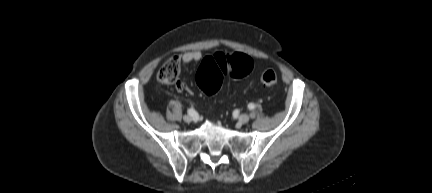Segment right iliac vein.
<instances>
[{"label": "right iliac vein", "instance_id": "63e3f726", "mask_svg": "<svg viewBox=\"0 0 432 193\" xmlns=\"http://www.w3.org/2000/svg\"><path fill=\"white\" fill-rule=\"evenodd\" d=\"M183 119H184V121L187 122V123H190L191 121H196V120H197L196 118H193V117H191L190 115H185V116L183 117Z\"/></svg>", "mask_w": 432, "mask_h": 193}]
</instances>
